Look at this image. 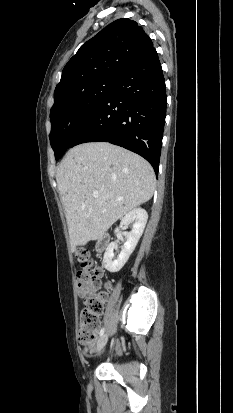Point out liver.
<instances>
[{
    "instance_id": "liver-1",
    "label": "liver",
    "mask_w": 233,
    "mask_h": 413,
    "mask_svg": "<svg viewBox=\"0 0 233 413\" xmlns=\"http://www.w3.org/2000/svg\"><path fill=\"white\" fill-rule=\"evenodd\" d=\"M56 180L72 249L101 238L119 218L149 201L155 190L152 166L141 156L108 142L70 149ZM93 192H98L97 198Z\"/></svg>"
}]
</instances>
